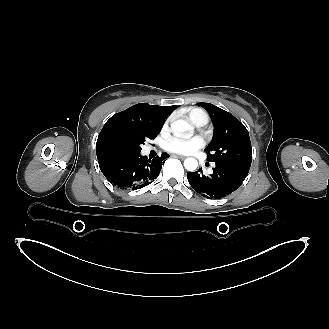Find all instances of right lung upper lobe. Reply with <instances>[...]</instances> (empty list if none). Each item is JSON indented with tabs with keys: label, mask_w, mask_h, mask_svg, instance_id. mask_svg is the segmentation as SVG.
<instances>
[{
	"label": "right lung upper lobe",
	"mask_w": 329,
	"mask_h": 329,
	"mask_svg": "<svg viewBox=\"0 0 329 329\" xmlns=\"http://www.w3.org/2000/svg\"><path fill=\"white\" fill-rule=\"evenodd\" d=\"M177 106H152L139 103L113 115L103 126L96 144L97 159L132 153L131 144L138 138L161 129L166 117Z\"/></svg>",
	"instance_id": "right-lung-upper-lobe-1"
}]
</instances>
